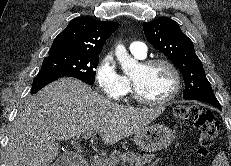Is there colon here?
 Listing matches in <instances>:
<instances>
[{
	"mask_svg": "<svg viewBox=\"0 0 231 166\" xmlns=\"http://www.w3.org/2000/svg\"><path fill=\"white\" fill-rule=\"evenodd\" d=\"M174 113L186 125L197 129L198 152L200 155L206 156L218 135V125L212 113L198 105H178L175 107ZM54 166H62V164L58 163Z\"/></svg>",
	"mask_w": 231,
	"mask_h": 166,
	"instance_id": "colon-1",
	"label": "colon"
}]
</instances>
